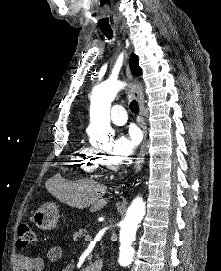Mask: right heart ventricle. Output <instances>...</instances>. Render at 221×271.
<instances>
[{"mask_svg": "<svg viewBox=\"0 0 221 271\" xmlns=\"http://www.w3.org/2000/svg\"><path fill=\"white\" fill-rule=\"evenodd\" d=\"M72 163H89V158H72ZM81 169H85L87 172L85 173L87 176L90 174L89 172H95L97 169V164H81Z\"/></svg>", "mask_w": 221, "mask_h": 271, "instance_id": "e07e8e85", "label": "right heart ventricle"}]
</instances>
